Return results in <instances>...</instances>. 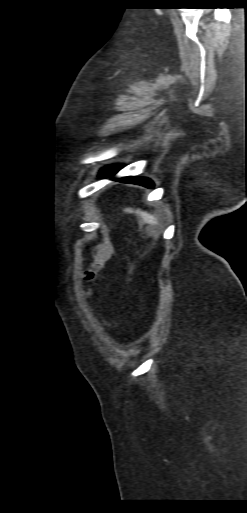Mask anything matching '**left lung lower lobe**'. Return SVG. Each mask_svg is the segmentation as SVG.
<instances>
[{
    "mask_svg": "<svg viewBox=\"0 0 247 513\" xmlns=\"http://www.w3.org/2000/svg\"><path fill=\"white\" fill-rule=\"evenodd\" d=\"M118 169H119V166H110V167L104 168L103 170H101L100 177L101 178L110 177V176L114 175L118 171ZM118 180L121 182H125V183L138 184V185H142V186H145L148 188H153L152 181L147 178L123 177Z\"/></svg>",
    "mask_w": 247,
    "mask_h": 513,
    "instance_id": "1",
    "label": "left lung lower lobe"
}]
</instances>
